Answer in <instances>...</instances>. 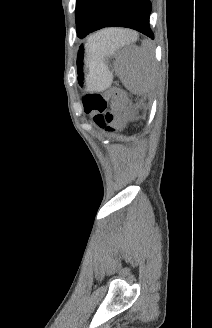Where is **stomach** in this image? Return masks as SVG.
<instances>
[{
	"label": "stomach",
	"mask_w": 212,
	"mask_h": 328,
	"mask_svg": "<svg viewBox=\"0 0 212 328\" xmlns=\"http://www.w3.org/2000/svg\"><path fill=\"white\" fill-rule=\"evenodd\" d=\"M79 81L84 82L88 91H102L112 81V73L105 64L103 57H97L86 47L85 56L78 60Z\"/></svg>",
	"instance_id": "1"
}]
</instances>
